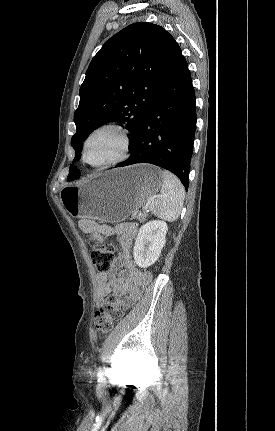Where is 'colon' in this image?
I'll return each instance as SVG.
<instances>
[{"label": "colon", "instance_id": "1", "mask_svg": "<svg viewBox=\"0 0 275 431\" xmlns=\"http://www.w3.org/2000/svg\"><path fill=\"white\" fill-rule=\"evenodd\" d=\"M92 262L99 272H106L114 261V249L108 244H97L90 249ZM125 305L116 296L109 295L94 316L95 329L105 334L123 318Z\"/></svg>", "mask_w": 275, "mask_h": 431}]
</instances>
